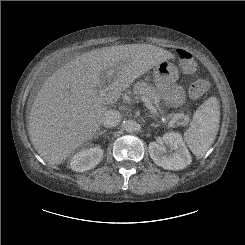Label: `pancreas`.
<instances>
[{
    "instance_id": "1",
    "label": "pancreas",
    "mask_w": 245,
    "mask_h": 245,
    "mask_svg": "<svg viewBox=\"0 0 245 245\" xmlns=\"http://www.w3.org/2000/svg\"><path fill=\"white\" fill-rule=\"evenodd\" d=\"M133 93L135 95L144 96L155 104H158L160 101V95H159L158 90L155 87L148 85V83L144 81L137 82L134 85ZM182 119H184V123L188 122V117L184 114H183Z\"/></svg>"
}]
</instances>
